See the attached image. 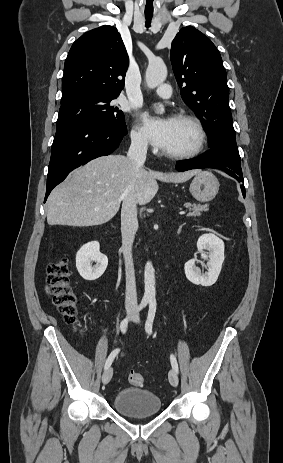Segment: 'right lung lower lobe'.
I'll return each instance as SVG.
<instances>
[{
	"mask_svg": "<svg viewBox=\"0 0 283 463\" xmlns=\"http://www.w3.org/2000/svg\"><path fill=\"white\" fill-rule=\"evenodd\" d=\"M126 134V126L94 121L57 129L52 144L45 201L51 190L73 169L94 158L111 154Z\"/></svg>",
	"mask_w": 283,
	"mask_h": 463,
	"instance_id": "1",
	"label": "right lung lower lobe"
}]
</instances>
